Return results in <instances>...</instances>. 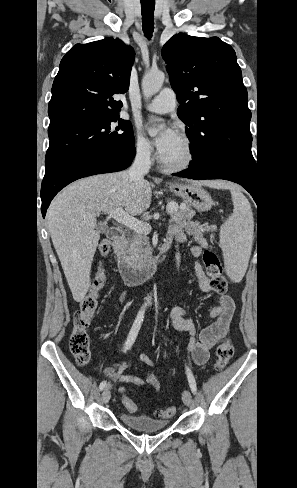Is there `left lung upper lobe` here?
I'll list each match as a JSON object with an SVG mask.
<instances>
[{"label": "left lung upper lobe", "instance_id": "5c2ea615", "mask_svg": "<svg viewBox=\"0 0 297 488\" xmlns=\"http://www.w3.org/2000/svg\"><path fill=\"white\" fill-rule=\"evenodd\" d=\"M162 57L192 143L191 165L214 157L256 165L248 95L233 48L218 37L179 33L164 45Z\"/></svg>", "mask_w": 297, "mask_h": 488}]
</instances>
